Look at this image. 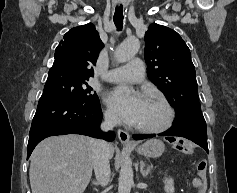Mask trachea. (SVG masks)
Wrapping results in <instances>:
<instances>
[{
	"instance_id": "trachea-1",
	"label": "trachea",
	"mask_w": 237,
	"mask_h": 193,
	"mask_svg": "<svg viewBox=\"0 0 237 193\" xmlns=\"http://www.w3.org/2000/svg\"><path fill=\"white\" fill-rule=\"evenodd\" d=\"M114 24L118 31L122 30L123 28V8L122 7H116L115 13H114Z\"/></svg>"
}]
</instances>
